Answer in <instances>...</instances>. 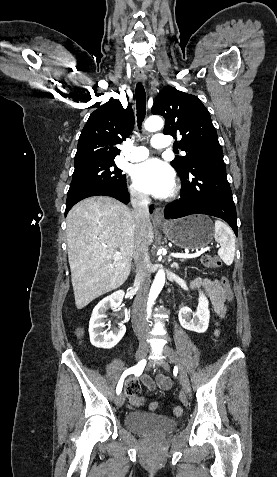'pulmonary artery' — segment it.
Masks as SVG:
<instances>
[{
	"instance_id": "1",
	"label": "pulmonary artery",
	"mask_w": 277,
	"mask_h": 477,
	"mask_svg": "<svg viewBox=\"0 0 277 477\" xmlns=\"http://www.w3.org/2000/svg\"><path fill=\"white\" fill-rule=\"evenodd\" d=\"M151 144L155 148L169 147V141L163 134H156L153 136ZM148 149L144 146L133 147L128 159L132 162H138L148 157Z\"/></svg>"
}]
</instances>
